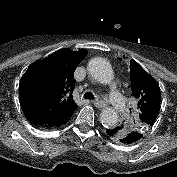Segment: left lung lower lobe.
Masks as SVG:
<instances>
[{"mask_svg": "<svg viewBox=\"0 0 177 177\" xmlns=\"http://www.w3.org/2000/svg\"><path fill=\"white\" fill-rule=\"evenodd\" d=\"M119 132V128L117 127H111L110 129L106 130V133L108 136L115 140ZM143 137V134L138 131H130L126 134H124L122 137H119L117 141L123 143V144H133L139 141Z\"/></svg>", "mask_w": 177, "mask_h": 177, "instance_id": "left-lung-lower-lobe-1", "label": "left lung lower lobe"}]
</instances>
